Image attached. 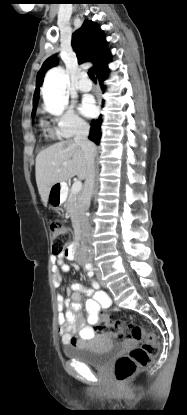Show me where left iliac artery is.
<instances>
[{
  "label": "left iliac artery",
  "mask_w": 187,
  "mask_h": 415,
  "mask_svg": "<svg viewBox=\"0 0 187 415\" xmlns=\"http://www.w3.org/2000/svg\"><path fill=\"white\" fill-rule=\"evenodd\" d=\"M93 275H94L93 271H92V270H90V271L88 272V276H89V277H92ZM92 285H93V287H95V288H99V284H98L96 281H93V282H92Z\"/></svg>",
  "instance_id": "44dca946"
}]
</instances>
